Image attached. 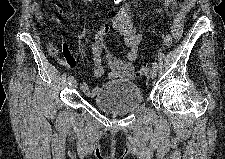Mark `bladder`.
<instances>
[{
    "mask_svg": "<svg viewBox=\"0 0 225 159\" xmlns=\"http://www.w3.org/2000/svg\"><path fill=\"white\" fill-rule=\"evenodd\" d=\"M92 103L109 114L125 115L137 109L143 103V97L135 82L116 80L99 87Z\"/></svg>",
    "mask_w": 225,
    "mask_h": 159,
    "instance_id": "bladder-1",
    "label": "bladder"
}]
</instances>
